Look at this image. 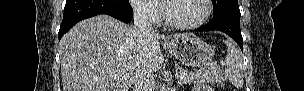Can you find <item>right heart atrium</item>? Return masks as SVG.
<instances>
[{
    "label": "right heart atrium",
    "instance_id": "right-heart-atrium-1",
    "mask_svg": "<svg viewBox=\"0 0 304 91\" xmlns=\"http://www.w3.org/2000/svg\"><path fill=\"white\" fill-rule=\"evenodd\" d=\"M135 12L144 20L157 22L160 19V9L151 0H134L132 2Z\"/></svg>",
    "mask_w": 304,
    "mask_h": 91
}]
</instances>
